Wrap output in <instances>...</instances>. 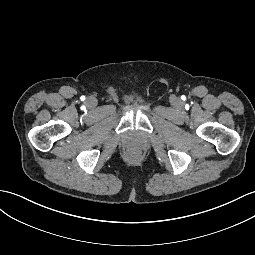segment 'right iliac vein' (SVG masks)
<instances>
[{
  "mask_svg": "<svg viewBox=\"0 0 255 255\" xmlns=\"http://www.w3.org/2000/svg\"><path fill=\"white\" fill-rule=\"evenodd\" d=\"M86 104H87L88 107L93 108V107H95L97 105V100L94 97H89L86 100Z\"/></svg>",
  "mask_w": 255,
  "mask_h": 255,
  "instance_id": "right-iliac-vein-1",
  "label": "right iliac vein"
}]
</instances>
